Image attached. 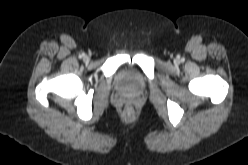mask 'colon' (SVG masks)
I'll use <instances>...</instances> for the list:
<instances>
[{"mask_svg":"<svg viewBox=\"0 0 248 165\" xmlns=\"http://www.w3.org/2000/svg\"><path fill=\"white\" fill-rule=\"evenodd\" d=\"M131 113H132L131 109L130 108H127V114L128 115H131Z\"/></svg>","mask_w":248,"mask_h":165,"instance_id":"5ec220e1","label":"colon"}]
</instances>
